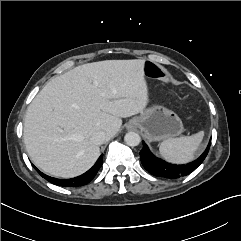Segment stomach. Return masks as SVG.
<instances>
[{
	"instance_id": "stomach-1",
	"label": "stomach",
	"mask_w": 241,
	"mask_h": 241,
	"mask_svg": "<svg viewBox=\"0 0 241 241\" xmlns=\"http://www.w3.org/2000/svg\"><path fill=\"white\" fill-rule=\"evenodd\" d=\"M128 129H140L150 141H162L179 136L183 123L178 115L163 106L154 105L133 117Z\"/></svg>"
}]
</instances>
